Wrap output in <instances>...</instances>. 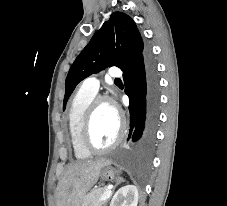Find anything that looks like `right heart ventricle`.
Instances as JSON below:
<instances>
[{
  "label": "right heart ventricle",
  "instance_id": "e07e8e85",
  "mask_svg": "<svg viewBox=\"0 0 227 206\" xmlns=\"http://www.w3.org/2000/svg\"><path fill=\"white\" fill-rule=\"evenodd\" d=\"M96 94L80 89L73 97L67 112V129L69 140L76 159L83 160L90 156L80 142V127L84 112Z\"/></svg>",
  "mask_w": 227,
  "mask_h": 206
}]
</instances>
